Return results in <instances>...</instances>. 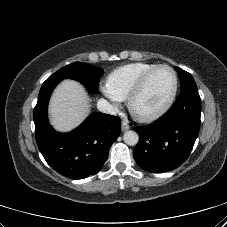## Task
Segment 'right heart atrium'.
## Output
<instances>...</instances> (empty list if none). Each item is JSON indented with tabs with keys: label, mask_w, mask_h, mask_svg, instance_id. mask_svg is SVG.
<instances>
[{
	"label": "right heart atrium",
	"mask_w": 227,
	"mask_h": 227,
	"mask_svg": "<svg viewBox=\"0 0 227 227\" xmlns=\"http://www.w3.org/2000/svg\"><path fill=\"white\" fill-rule=\"evenodd\" d=\"M101 92L102 94L108 99V101L111 104V107L116 109L118 107V105L120 104L121 100L116 97L110 90L109 88L106 86H102L101 87Z\"/></svg>",
	"instance_id": "1"
}]
</instances>
